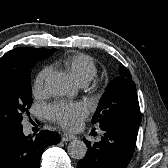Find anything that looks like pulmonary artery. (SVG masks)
I'll list each match as a JSON object with an SVG mask.
<instances>
[{
	"label": "pulmonary artery",
	"mask_w": 168,
	"mask_h": 168,
	"mask_svg": "<svg viewBox=\"0 0 168 168\" xmlns=\"http://www.w3.org/2000/svg\"><path fill=\"white\" fill-rule=\"evenodd\" d=\"M86 84H87V83H82V84H80V85H81L82 87H84V86H86Z\"/></svg>",
	"instance_id": "obj_1"
}]
</instances>
